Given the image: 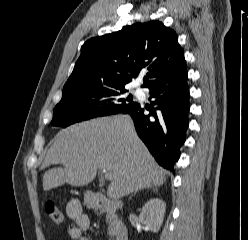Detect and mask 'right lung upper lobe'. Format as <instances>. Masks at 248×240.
<instances>
[{"mask_svg":"<svg viewBox=\"0 0 248 240\" xmlns=\"http://www.w3.org/2000/svg\"><path fill=\"white\" fill-rule=\"evenodd\" d=\"M143 68L149 71L143 87L186 69L184 51L178 44L176 32L160 21L135 23L86 41L63 90L121 89Z\"/></svg>","mask_w":248,"mask_h":240,"instance_id":"obj_1","label":"right lung upper lobe"}]
</instances>
